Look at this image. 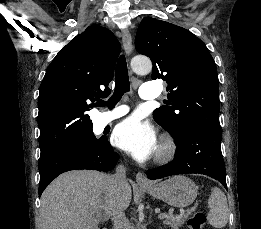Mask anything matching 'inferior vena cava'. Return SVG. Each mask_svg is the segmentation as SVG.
Listing matches in <instances>:
<instances>
[{
    "instance_id": "602c4592",
    "label": "inferior vena cava",
    "mask_w": 261,
    "mask_h": 229,
    "mask_svg": "<svg viewBox=\"0 0 261 229\" xmlns=\"http://www.w3.org/2000/svg\"><path fill=\"white\" fill-rule=\"evenodd\" d=\"M107 181L109 193H111L113 197H118V195H121L122 187H125L127 183L125 167H123V165H117L115 175L108 177ZM126 221L127 219L124 211H119V209H116L112 217L114 229H125Z\"/></svg>"
}]
</instances>
